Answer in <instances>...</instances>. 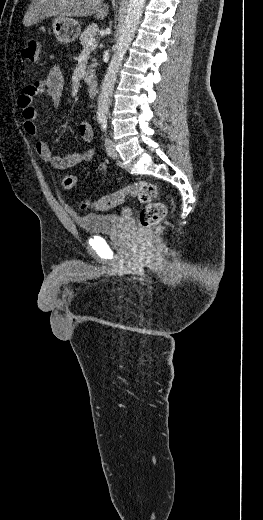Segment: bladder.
Segmentation results:
<instances>
[{
	"mask_svg": "<svg viewBox=\"0 0 263 520\" xmlns=\"http://www.w3.org/2000/svg\"><path fill=\"white\" fill-rule=\"evenodd\" d=\"M77 227L86 234L100 235L118 233L125 228V219L116 213L73 215Z\"/></svg>",
	"mask_w": 263,
	"mask_h": 520,
	"instance_id": "obj_1",
	"label": "bladder"
}]
</instances>
